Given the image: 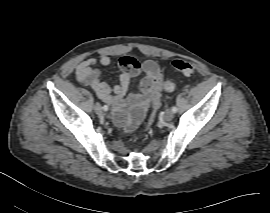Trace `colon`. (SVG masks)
I'll return each mask as SVG.
<instances>
[{
    "label": "colon",
    "mask_w": 270,
    "mask_h": 213,
    "mask_svg": "<svg viewBox=\"0 0 270 213\" xmlns=\"http://www.w3.org/2000/svg\"><path fill=\"white\" fill-rule=\"evenodd\" d=\"M173 67L179 71L180 73L186 75V76H195V67L192 63L185 61V60H174L172 62ZM175 88V83L172 80H166L163 83V89L166 91H173ZM160 108V104L156 103L153 106V113H156ZM136 140V138L134 139Z\"/></svg>",
    "instance_id": "5ec220e1"
}]
</instances>
